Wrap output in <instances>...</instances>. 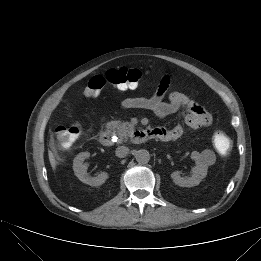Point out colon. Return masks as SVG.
Here are the masks:
<instances>
[{
    "label": "colon",
    "instance_id": "colon-1",
    "mask_svg": "<svg viewBox=\"0 0 261 261\" xmlns=\"http://www.w3.org/2000/svg\"><path fill=\"white\" fill-rule=\"evenodd\" d=\"M142 77V71L136 68L121 67L110 69L103 75L92 77L84 89V95L88 98L97 97L107 84L115 87L121 85H138ZM80 132V128L77 126H58L54 130V135L60 146L68 148L75 143ZM212 140L219 154L228 155L231 152L233 143L224 131L216 130Z\"/></svg>",
    "mask_w": 261,
    "mask_h": 261
}]
</instances>
